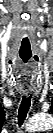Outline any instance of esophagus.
I'll list each match as a JSON object with an SVG mask.
<instances>
[{
	"label": "esophagus",
	"mask_w": 53,
	"mask_h": 133,
	"mask_svg": "<svg viewBox=\"0 0 53 133\" xmlns=\"http://www.w3.org/2000/svg\"><path fill=\"white\" fill-rule=\"evenodd\" d=\"M28 93H29L28 91H25V94H26V95H28Z\"/></svg>",
	"instance_id": "34e87169"
}]
</instances>
